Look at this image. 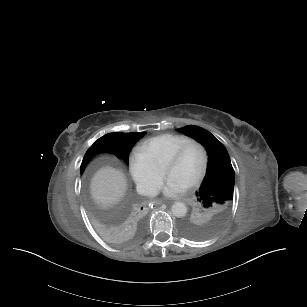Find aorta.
<instances>
[{"label": "aorta", "mask_w": 307, "mask_h": 307, "mask_svg": "<svg viewBox=\"0 0 307 307\" xmlns=\"http://www.w3.org/2000/svg\"><path fill=\"white\" fill-rule=\"evenodd\" d=\"M171 212L173 216L177 218L184 217L187 213V208L182 202H175L171 207Z\"/></svg>", "instance_id": "1"}]
</instances>
